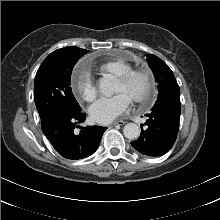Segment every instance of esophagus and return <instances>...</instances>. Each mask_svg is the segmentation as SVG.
Listing matches in <instances>:
<instances>
[{"mask_svg": "<svg viewBox=\"0 0 220 220\" xmlns=\"http://www.w3.org/2000/svg\"><path fill=\"white\" fill-rule=\"evenodd\" d=\"M125 123L126 122L124 120L120 119V120H117V121L113 122V125H123Z\"/></svg>", "mask_w": 220, "mask_h": 220, "instance_id": "obj_1", "label": "esophagus"}]
</instances>
